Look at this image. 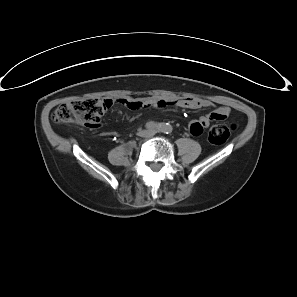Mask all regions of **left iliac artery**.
<instances>
[{
	"label": "left iliac artery",
	"instance_id": "44dca946",
	"mask_svg": "<svg viewBox=\"0 0 297 297\" xmlns=\"http://www.w3.org/2000/svg\"><path fill=\"white\" fill-rule=\"evenodd\" d=\"M169 131H170V130H169V128H168V131H167V133H169Z\"/></svg>",
	"mask_w": 297,
	"mask_h": 297
}]
</instances>
